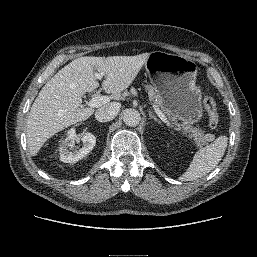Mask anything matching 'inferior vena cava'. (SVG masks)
<instances>
[{
  "mask_svg": "<svg viewBox=\"0 0 257 257\" xmlns=\"http://www.w3.org/2000/svg\"><path fill=\"white\" fill-rule=\"evenodd\" d=\"M120 110L118 103H111L109 106H104L96 110L95 118L99 122H108L116 117Z\"/></svg>",
  "mask_w": 257,
  "mask_h": 257,
  "instance_id": "1",
  "label": "inferior vena cava"
}]
</instances>
